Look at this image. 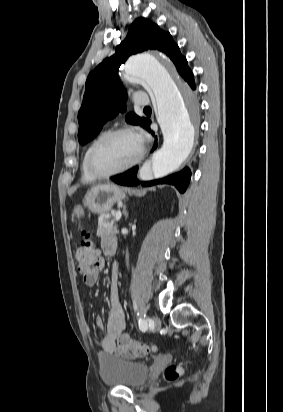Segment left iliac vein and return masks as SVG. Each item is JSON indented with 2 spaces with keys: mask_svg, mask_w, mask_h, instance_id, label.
I'll return each instance as SVG.
<instances>
[{
  "mask_svg": "<svg viewBox=\"0 0 283 412\" xmlns=\"http://www.w3.org/2000/svg\"><path fill=\"white\" fill-rule=\"evenodd\" d=\"M152 321H153V328H154V330H155V331H159L160 328H161V320H160V318H159L157 315H155V316H153Z\"/></svg>",
  "mask_w": 283,
  "mask_h": 412,
  "instance_id": "1",
  "label": "left iliac vein"
}]
</instances>
